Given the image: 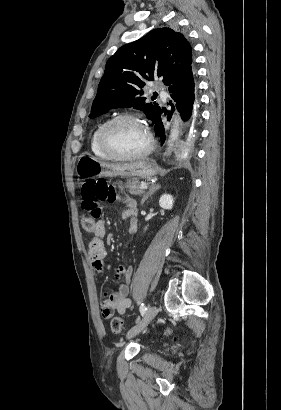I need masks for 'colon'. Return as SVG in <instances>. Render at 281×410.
<instances>
[{"instance_id": "obj_1", "label": "colon", "mask_w": 281, "mask_h": 410, "mask_svg": "<svg viewBox=\"0 0 281 410\" xmlns=\"http://www.w3.org/2000/svg\"><path fill=\"white\" fill-rule=\"evenodd\" d=\"M82 208L84 214L81 219V225L86 231H94L96 221L101 216L100 202H114L119 197L118 190L110 185L106 180H90L83 184L81 189ZM111 331L115 334H121L124 330V321L120 317H114L110 323ZM171 328L166 329L170 333Z\"/></svg>"}]
</instances>
